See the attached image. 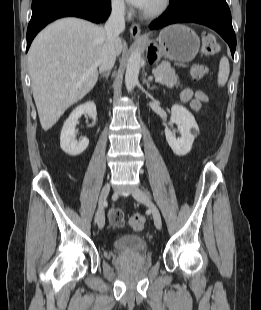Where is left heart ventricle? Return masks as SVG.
I'll return each instance as SVG.
<instances>
[{
	"label": "left heart ventricle",
	"instance_id": "obj_1",
	"mask_svg": "<svg viewBox=\"0 0 261 310\" xmlns=\"http://www.w3.org/2000/svg\"><path fill=\"white\" fill-rule=\"evenodd\" d=\"M157 1L158 0H150L148 5L146 6V8L144 10H148V9L153 8L156 5Z\"/></svg>",
	"mask_w": 261,
	"mask_h": 310
}]
</instances>
